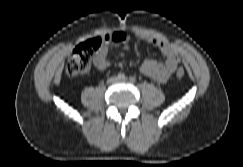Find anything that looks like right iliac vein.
<instances>
[{
	"label": "right iliac vein",
	"instance_id": "obj_1",
	"mask_svg": "<svg viewBox=\"0 0 243 167\" xmlns=\"http://www.w3.org/2000/svg\"><path fill=\"white\" fill-rule=\"evenodd\" d=\"M115 81H116L115 78H111V79L109 80V83H114Z\"/></svg>",
	"mask_w": 243,
	"mask_h": 167
}]
</instances>
